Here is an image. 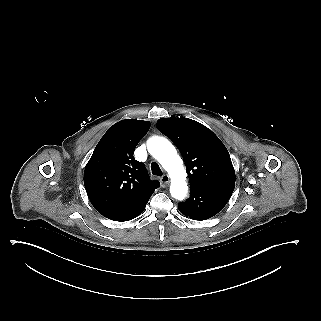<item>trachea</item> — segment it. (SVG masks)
<instances>
[{
	"instance_id": "obj_1",
	"label": "trachea",
	"mask_w": 321,
	"mask_h": 321,
	"mask_svg": "<svg viewBox=\"0 0 321 321\" xmlns=\"http://www.w3.org/2000/svg\"><path fill=\"white\" fill-rule=\"evenodd\" d=\"M151 170H152V174L156 175V176H162V171L159 167V165L156 162H152L151 164Z\"/></svg>"
}]
</instances>
